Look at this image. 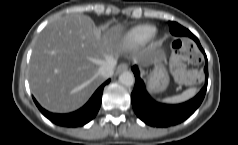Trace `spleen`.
<instances>
[{"instance_id": "1", "label": "spleen", "mask_w": 238, "mask_h": 145, "mask_svg": "<svg viewBox=\"0 0 238 145\" xmlns=\"http://www.w3.org/2000/svg\"><path fill=\"white\" fill-rule=\"evenodd\" d=\"M197 91H198V89L195 88V87L189 88V89L185 90L183 93H181L180 95H176V96H173V97L166 98L163 101L166 102V103L184 102L186 100H189L193 96H195Z\"/></svg>"}]
</instances>
